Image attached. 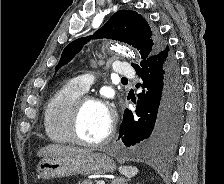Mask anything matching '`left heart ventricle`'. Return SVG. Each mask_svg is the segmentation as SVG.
Returning a JSON list of instances; mask_svg holds the SVG:
<instances>
[{"label":"left heart ventricle","instance_id":"b2bd125f","mask_svg":"<svg viewBox=\"0 0 224 184\" xmlns=\"http://www.w3.org/2000/svg\"><path fill=\"white\" fill-rule=\"evenodd\" d=\"M110 115L108 109L95 102H90L84 107L80 121L79 134L88 141H98L108 132Z\"/></svg>","mask_w":224,"mask_h":184}]
</instances>
